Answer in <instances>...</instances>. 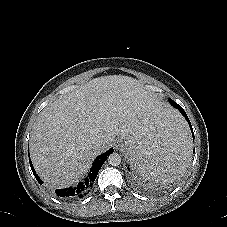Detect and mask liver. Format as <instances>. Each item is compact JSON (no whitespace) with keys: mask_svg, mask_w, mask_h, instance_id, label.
I'll list each match as a JSON object with an SVG mask.
<instances>
[{"mask_svg":"<svg viewBox=\"0 0 227 227\" xmlns=\"http://www.w3.org/2000/svg\"><path fill=\"white\" fill-rule=\"evenodd\" d=\"M152 106L140 82L122 75L94 78L60 96L41 112L31 134L36 172L50 188L77 183L96 156L151 114ZM96 140L105 146L94 149Z\"/></svg>","mask_w":227,"mask_h":227,"instance_id":"obj_1","label":"liver"}]
</instances>
